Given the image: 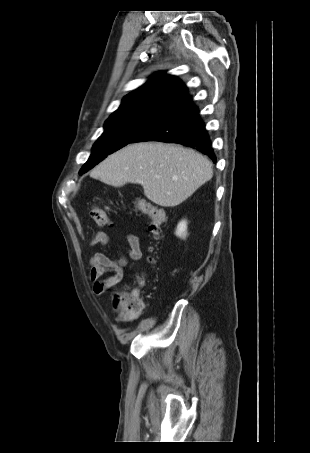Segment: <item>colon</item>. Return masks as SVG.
Listing matches in <instances>:
<instances>
[{"label": "colon", "instance_id": "obj_1", "mask_svg": "<svg viewBox=\"0 0 310 453\" xmlns=\"http://www.w3.org/2000/svg\"><path fill=\"white\" fill-rule=\"evenodd\" d=\"M134 209L137 213L145 216L149 220V232L154 239H160L165 223V214L162 209L149 201L137 198L134 201ZM108 208L94 203L90 208V216L94 223L99 227H104L109 223L107 214ZM150 260L152 258H149ZM114 309L127 317L140 315L145 304L139 296L137 289L116 291L113 295Z\"/></svg>", "mask_w": 310, "mask_h": 453}]
</instances>
